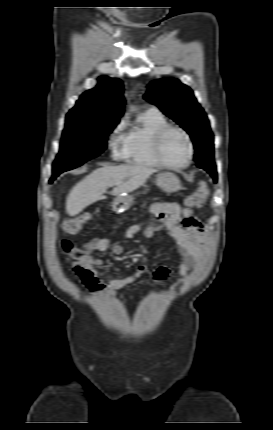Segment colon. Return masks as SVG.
<instances>
[{"instance_id":"obj_1","label":"colon","mask_w":273,"mask_h":430,"mask_svg":"<svg viewBox=\"0 0 273 430\" xmlns=\"http://www.w3.org/2000/svg\"><path fill=\"white\" fill-rule=\"evenodd\" d=\"M208 193L209 191L206 184L201 183L197 191L189 194L186 197L185 199L186 210L191 211L194 209L201 208L208 197ZM91 217L92 216L90 213H86L68 220L63 225L64 232L68 235H74L78 233L81 230L82 226L87 221H89ZM60 246L62 250L67 255H69L75 263H80V258H82L83 256H88V250H89L88 246H80V247L73 246L72 243L66 239L60 242Z\"/></svg>"}]
</instances>
